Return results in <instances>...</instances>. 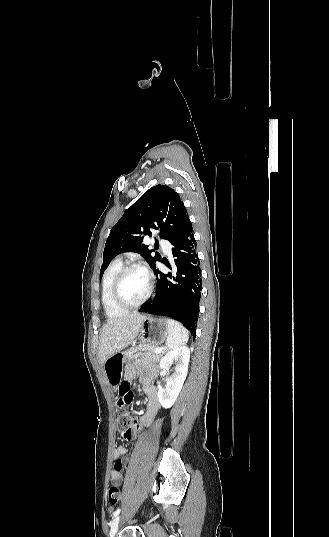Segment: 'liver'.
<instances>
[{
    "instance_id": "liver-1",
    "label": "liver",
    "mask_w": 329,
    "mask_h": 537,
    "mask_svg": "<svg viewBox=\"0 0 329 537\" xmlns=\"http://www.w3.org/2000/svg\"><path fill=\"white\" fill-rule=\"evenodd\" d=\"M143 320L144 316L138 313L107 320L101 329L98 351L99 362L102 366L110 356L131 344L137 336Z\"/></svg>"
}]
</instances>
